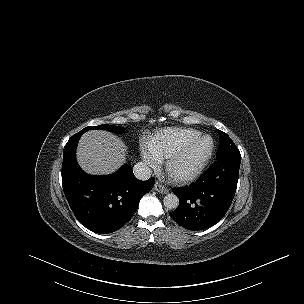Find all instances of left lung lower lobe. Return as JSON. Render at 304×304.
Instances as JSON below:
<instances>
[{
	"mask_svg": "<svg viewBox=\"0 0 304 304\" xmlns=\"http://www.w3.org/2000/svg\"><path fill=\"white\" fill-rule=\"evenodd\" d=\"M240 163L241 155L219 159L196 182L174 189L180 203L170 217L192 231L204 230L218 223L234 198Z\"/></svg>",
	"mask_w": 304,
	"mask_h": 304,
	"instance_id": "obj_1",
	"label": "left lung lower lobe"
}]
</instances>
